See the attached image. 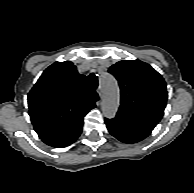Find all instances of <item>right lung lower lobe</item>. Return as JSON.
<instances>
[{
  "label": "right lung lower lobe",
  "instance_id": "1",
  "mask_svg": "<svg viewBox=\"0 0 194 193\" xmlns=\"http://www.w3.org/2000/svg\"><path fill=\"white\" fill-rule=\"evenodd\" d=\"M82 123L77 124L71 130L64 132L62 134L42 139L46 144L53 147H66L73 143L82 132Z\"/></svg>",
  "mask_w": 194,
  "mask_h": 193
}]
</instances>
